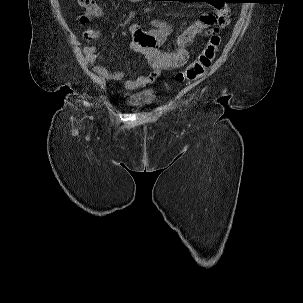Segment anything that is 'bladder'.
Masks as SVG:
<instances>
[{"instance_id": "1", "label": "bladder", "mask_w": 303, "mask_h": 303, "mask_svg": "<svg viewBox=\"0 0 303 303\" xmlns=\"http://www.w3.org/2000/svg\"><path fill=\"white\" fill-rule=\"evenodd\" d=\"M154 101L155 98L153 96L140 94H132L126 100L127 104L135 109L150 106Z\"/></svg>"}]
</instances>
